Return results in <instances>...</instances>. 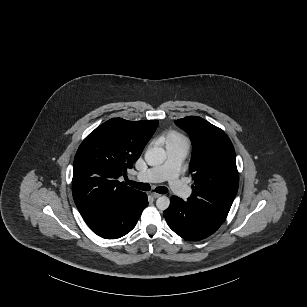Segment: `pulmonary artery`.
I'll return each instance as SVG.
<instances>
[{
    "label": "pulmonary artery",
    "instance_id": "pulmonary-artery-1",
    "mask_svg": "<svg viewBox=\"0 0 307 307\" xmlns=\"http://www.w3.org/2000/svg\"><path fill=\"white\" fill-rule=\"evenodd\" d=\"M187 148H168V160L161 167L140 170L137 173V180L140 183H158L159 181L167 180V188L179 193L182 199H189L192 196V189L188 186V181L185 178H180L178 175L181 171L180 164L187 155Z\"/></svg>",
    "mask_w": 307,
    "mask_h": 307
}]
</instances>
